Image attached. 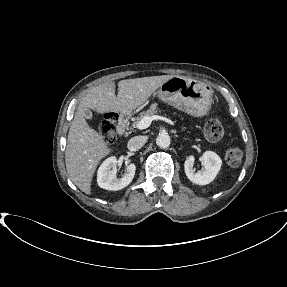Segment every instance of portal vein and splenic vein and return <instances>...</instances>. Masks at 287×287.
Returning <instances> with one entry per match:
<instances>
[{
	"instance_id": "obj_1",
	"label": "portal vein and splenic vein",
	"mask_w": 287,
	"mask_h": 287,
	"mask_svg": "<svg viewBox=\"0 0 287 287\" xmlns=\"http://www.w3.org/2000/svg\"><path fill=\"white\" fill-rule=\"evenodd\" d=\"M153 120H161V121H165V122H167L169 124H173V122L170 119L166 118V117H163V116H160V115H153V116H145V117H143L138 122L137 128L139 130H144V129H146V128H148L150 126V124H151V122Z\"/></svg>"
}]
</instances>
